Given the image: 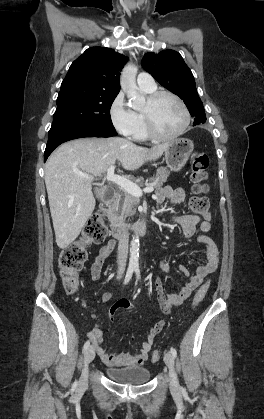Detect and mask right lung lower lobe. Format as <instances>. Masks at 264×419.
<instances>
[{
  "label": "right lung lower lobe",
  "instance_id": "obj_1",
  "mask_svg": "<svg viewBox=\"0 0 264 419\" xmlns=\"http://www.w3.org/2000/svg\"><path fill=\"white\" fill-rule=\"evenodd\" d=\"M117 135L115 130H106L101 128H78L64 133L55 140L49 141L46 145L44 153V161L48 158L51 152L61 143L83 137H111Z\"/></svg>",
  "mask_w": 264,
  "mask_h": 419
}]
</instances>
